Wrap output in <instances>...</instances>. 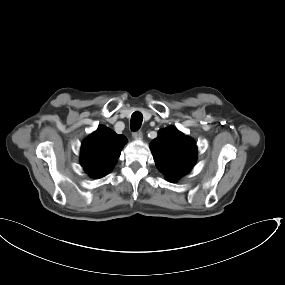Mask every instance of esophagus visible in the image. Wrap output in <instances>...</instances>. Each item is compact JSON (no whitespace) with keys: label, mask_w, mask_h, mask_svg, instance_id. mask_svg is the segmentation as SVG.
Wrapping results in <instances>:
<instances>
[{"label":"esophagus","mask_w":285,"mask_h":285,"mask_svg":"<svg viewBox=\"0 0 285 285\" xmlns=\"http://www.w3.org/2000/svg\"><path fill=\"white\" fill-rule=\"evenodd\" d=\"M133 138L137 139V140H141L142 139V132L140 130L134 131L132 133Z\"/></svg>","instance_id":"34e87169"}]
</instances>
